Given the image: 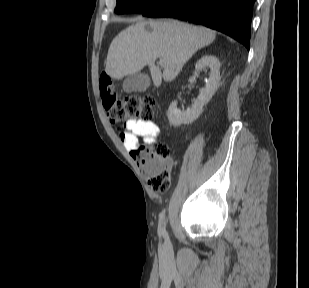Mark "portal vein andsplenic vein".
Segmentation results:
<instances>
[{
    "mask_svg": "<svg viewBox=\"0 0 309 288\" xmlns=\"http://www.w3.org/2000/svg\"><path fill=\"white\" fill-rule=\"evenodd\" d=\"M158 63H159L160 66H164V64H165L163 59H160Z\"/></svg>",
    "mask_w": 309,
    "mask_h": 288,
    "instance_id": "obj_1",
    "label": "portal vein and splenic vein"
}]
</instances>
